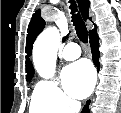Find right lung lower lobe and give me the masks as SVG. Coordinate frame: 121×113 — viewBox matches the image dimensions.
<instances>
[{
    "label": "right lung lower lobe",
    "mask_w": 121,
    "mask_h": 113,
    "mask_svg": "<svg viewBox=\"0 0 121 113\" xmlns=\"http://www.w3.org/2000/svg\"><path fill=\"white\" fill-rule=\"evenodd\" d=\"M90 37V46H91V52H92V57H93V62L95 64V66L97 67V69L99 70V37L97 35V32H93L89 35ZM89 103L90 100H88L86 102L85 107L82 110V113H89Z\"/></svg>",
    "instance_id": "right-lung-lower-lobe-1"
}]
</instances>
